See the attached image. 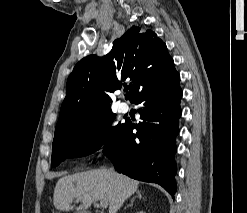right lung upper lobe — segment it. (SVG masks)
<instances>
[{
	"instance_id": "cb5924a9",
	"label": "right lung upper lobe",
	"mask_w": 247,
	"mask_h": 213,
	"mask_svg": "<svg viewBox=\"0 0 247 213\" xmlns=\"http://www.w3.org/2000/svg\"><path fill=\"white\" fill-rule=\"evenodd\" d=\"M174 66L165 43L151 30L141 32L133 26L103 57L90 55L80 60L68 77L55 135L84 125L100 113L110 110L108 95L130 78L132 97L147 83Z\"/></svg>"
}]
</instances>
